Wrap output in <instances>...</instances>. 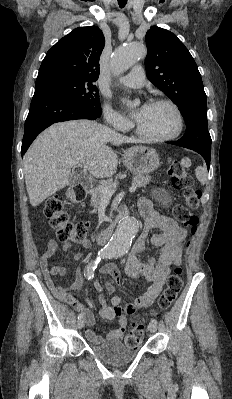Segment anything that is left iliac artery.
I'll return each mask as SVG.
<instances>
[{"instance_id":"obj_1","label":"left iliac artery","mask_w":232,"mask_h":399,"mask_svg":"<svg viewBox=\"0 0 232 399\" xmlns=\"http://www.w3.org/2000/svg\"><path fill=\"white\" fill-rule=\"evenodd\" d=\"M109 256H110V257H113V256H116V254H115V253H112V254H110ZM150 323H151L152 325H156V324H157V320L154 319V318H152L151 321H150Z\"/></svg>"}]
</instances>
